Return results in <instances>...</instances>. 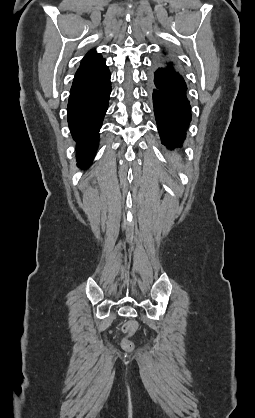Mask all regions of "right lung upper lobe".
Segmentation results:
<instances>
[{
    "mask_svg": "<svg viewBox=\"0 0 255 418\" xmlns=\"http://www.w3.org/2000/svg\"><path fill=\"white\" fill-rule=\"evenodd\" d=\"M101 57L100 54L96 53L94 50L90 51L86 54V56L83 58L82 62L84 61H90L96 58Z\"/></svg>",
    "mask_w": 255,
    "mask_h": 418,
    "instance_id": "right-lung-upper-lobe-1",
    "label": "right lung upper lobe"
}]
</instances>
